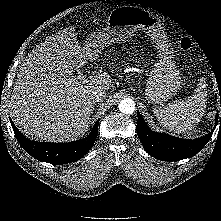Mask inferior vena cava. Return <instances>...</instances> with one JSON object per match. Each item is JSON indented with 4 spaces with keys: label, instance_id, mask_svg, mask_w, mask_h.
<instances>
[{
    "label": "inferior vena cava",
    "instance_id": "inferior-vena-cava-1",
    "mask_svg": "<svg viewBox=\"0 0 221 221\" xmlns=\"http://www.w3.org/2000/svg\"><path fill=\"white\" fill-rule=\"evenodd\" d=\"M106 97V92L101 89H96L91 92L90 99L93 103H97L99 101H103Z\"/></svg>",
    "mask_w": 221,
    "mask_h": 221
}]
</instances>
